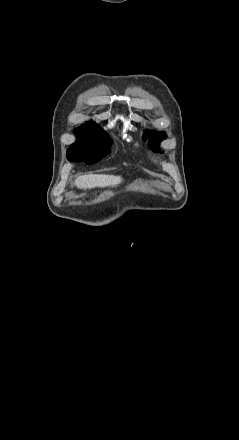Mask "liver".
<instances>
[{"label": "liver", "instance_id": "1", "mask_svg": "<svg viewBox=\"0 0 239 440\" xmlns=\"http://www.w3.org/2000/svg\"><path fill=\"white\" fill-rule=\"evenodd\" d=\"M120 176H104V174H88V176H79L75 180L77 188H106V186H117L121 184Z\"/></svg>", "mask_w": 239, "mask_h": 440}]
</instances>
